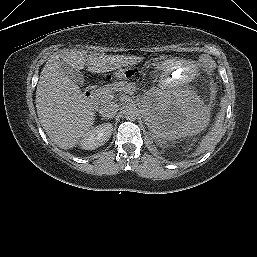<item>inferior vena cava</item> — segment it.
<instances>
[{"label":"inferior vena cava","mask_w":257,"mask_h":257,"mask_svg":"<svg viewBox=\"0 0 257 257\" xmlns=\"http://www.w3.org/2000/svg\"><path fill=\"white\" fill-rule=\"evenodd\" d=\"M119 110V105L109 102L101 106L99 113L104 118H113Z\"/></svg>","instance_id":"inferior-vena-cava-1"}]
</instances>
